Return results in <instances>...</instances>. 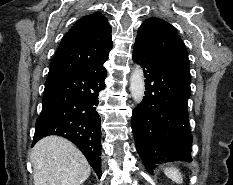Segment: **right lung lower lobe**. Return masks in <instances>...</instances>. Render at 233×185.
<instances>
[{
  "mask_svg": "<svg viewBox=\"0 0 233 185\" xmlns=\"http://www.w3.org/2000/svg\"><path fill=\"white\" fill-rule=\"evenodd\" d=\"M105 67L49 75L43 107L36 121L33 145L47 135L72 141L101 177V120L96 111L98 93L105 89Z\"/></svg>",
  "mask_w": 233,
  "mask_h": 185,
  "instance_id": "right-lung-lower-lobe-1",
  "label": "right lung lower lobe"
}]
</instances>
